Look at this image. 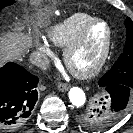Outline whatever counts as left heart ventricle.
Segmentation results:
<instances>
[{
    "label": "left heart ventricle",
    "instance_id": "1",
    "mask_svg": "<svg viewBox=\"0 0 133 133\" xmlns=\"http://www.w3.org/2000/svg\"><path fill=\"white\" fill-rule=\"evenodd\" d=\"M107 36L106 27L103 24H95L87 33L82 45L73 53L71 65L77 70L90 68L100 57Z\"/></svg>",
    "mask_w": 133,
    "mask_h": 133
}]
</instances>
